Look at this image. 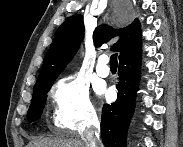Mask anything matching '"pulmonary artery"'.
I'll return each instance as SVG.
<instances>
[{"mask_svg": "<svg viewBox=\"0 0 183 147\" xmlns=\"http://www.w3.org/2000/svg\"><path fill=\"white\" fill-rule=\"evenodd\" d=\"M108 56L101 55L98 59L96 72L101 77H107L110 74V69L108 67Z\"/></svg>", "mask_w": 183, "mask_h": 147, "instance_id": "e3ab8cb5", "label": "pulmonary artery"}]
</instances>
